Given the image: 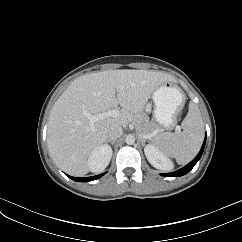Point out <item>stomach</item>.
Segmentation results:
<instances>
[{
    "label": "stomach",
    "mask_w": 242,
    "mask_h": 242,
    "mask_svg": "<svg viewBox=\"0 0 242 242\" xmlns=\"http://www.w3.org/2000/svg\"><path fill=\"white\" fill-rule=\"evenodd\" d=\"M155 105L154 118L163 128H171L177 122V117L185 103L183 91L170 82H165L153 92Z\"/></svg>",
    "instance_id": "obj_1"
}]
</instances>
